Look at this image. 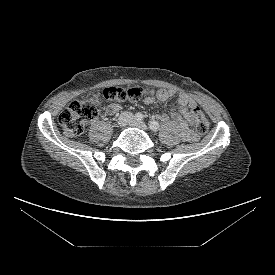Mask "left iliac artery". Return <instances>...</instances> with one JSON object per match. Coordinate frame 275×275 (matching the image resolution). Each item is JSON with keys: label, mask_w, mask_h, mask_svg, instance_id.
<instances>
[{"label": "left iliac artery", "mask_w": 275, "mask_h": 275, "mask_svg": "<svg viewBox=\"0 0 275 275\" xmlns=\"http://www.w3.org/2000/svg\"><path fill=\"white\" fill-rule=\"evenodd\" d=\"M149 127L153 130V131H158L159 129V123L155 120H151L149 121Z\"/></svg>", "instance_id": "44dca946"}]
</instances>
